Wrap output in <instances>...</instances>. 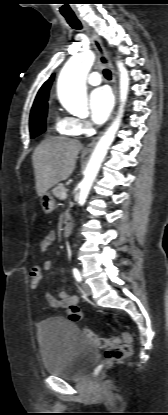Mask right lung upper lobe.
<instances>
[{"mask_svg":"<svg viewBox=\"0 0 168 415\" xmlns=\"http://www.w3.org/2000/svg\"><path fill=\"white\" fill-rule=\"evenodd\" d=\"M53 79H54V74H52L51 77L49 78V80H47L43 84V86L40 88V90H39V92H38V94L35 98V101H34V104H33V107H32L31 111H34L36 109L47 106L49 90H50L51 84L53 82Z\"/></svg>","mask_w":168,"mask_h":415,"instance_id":"cb5924a9","label":"right lung upper lobe"}]
</instances>
